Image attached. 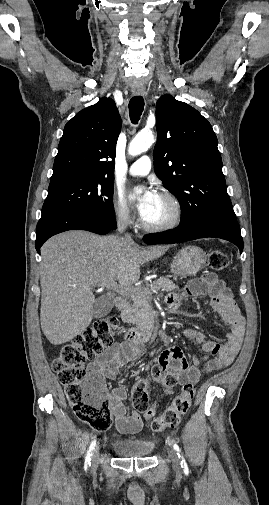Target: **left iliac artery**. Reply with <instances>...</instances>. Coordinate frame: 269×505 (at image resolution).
Here are the masks:
<instances>
[{"mask_svg":"<svg viewBox=\"0 0 269 505\" xmlns=\"http://www.w3.org/2000/svg\"><path fill=\"white\" fill-rule=\"evenodd\" d=\"M173 447H174L177 455L179 456V458H181V467H182L183 471L187 474L189 472L188 466H187L185 459L183 458L181 449L179 448V446L176 443L173 445Z\"/></svg>","mask_w":269,"mask_h":505,"instance_id":"1","label":"left iliac artery"}]
</instances>
